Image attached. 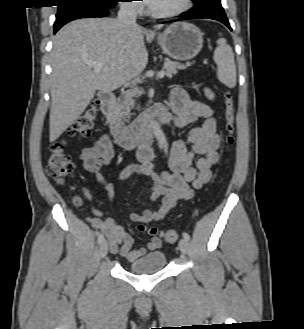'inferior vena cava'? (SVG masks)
<instances>
[{
    "instance_id": "inferior-vena-cava-1",
    "label": "inferior vena cava",
    "mask_w": 304,
    "mask_h": 329,
    "mask_svg": "<svg viewBox=\"0 0 304 329\" xmlns=\"http://www.w3.org/2000/svg\"><path fill=\"white\" fill-rule=\"evenodd\" d=\"M136 7L131 3H123L120 6L117 20L124 27H135L136 23Z\"/></svg>"
}]
</instances>
